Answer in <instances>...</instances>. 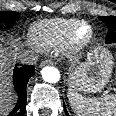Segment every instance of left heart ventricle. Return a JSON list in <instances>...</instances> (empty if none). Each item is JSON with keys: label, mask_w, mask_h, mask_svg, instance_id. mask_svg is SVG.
I'll use <instances>...</instances> for the list:
<instances>
[{"label": "left heart ventricle", "mask_w": 116, "mask_h": 116, "mask_svg": "<svg viewBox=\"0 0 116 116\" xmlns=\"http://www.w3.org/2000/svg\"><path fill=\"white\" fill-rule=\"evenodd\" d=\"M87 28H83L81 31H80V34L82 35V36H85L86 34H87Z\"/></svg>", "instance_id": "left-heart-ventricle-1"}]
</instances>
